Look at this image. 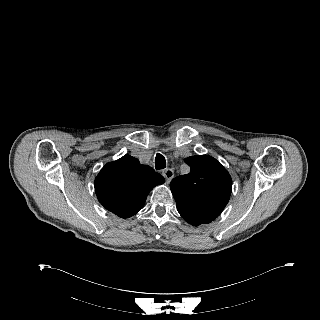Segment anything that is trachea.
<instances>
[{
	"label": "trachea",
	"mask_w": 320,
	"mask_h": 320,
	"mask_svg": "<svg viewBox=\"0 0 320 320\" xmlns=\"http://www.w3.org/2000/svg\"><path fill=\"white\" fill-rule=\"evenodd\" d=\"M165 167H166L165 157L158 153L155 157V168L157 170H161V169H164Z\"/></svg>",
	"instance_id": "1"
}]
</instances>
